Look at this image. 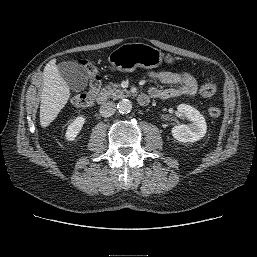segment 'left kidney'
Returning a JSON list of instances; mask_svg holds the SVG:
<instances>
[{
	"label": "left kidney",
	"mask_w": 257,
	"mask_h": 257,
	"mask_svg": "<svg viewBox=\"0 0 257 257\" xmlns=\"http://www.w3.org/2000/svg\"><path fill=\"white\" fill-rule=\"evenodd\" d=\"M177 110L190 121L187 125L180 124L172 128V135L177 141L193 143L205 136L207 131L206 121L197 109L187 104H180Z\"/></svg>",
	"instance_id": "left-kidney-1"
}]
</instances>
